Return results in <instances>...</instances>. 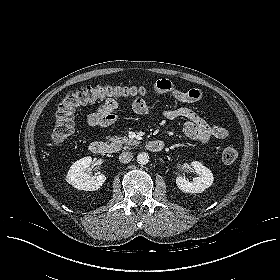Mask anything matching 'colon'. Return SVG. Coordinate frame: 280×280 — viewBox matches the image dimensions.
I'll list each match as a JSON object with an SVG mask.
<instances>
[{"instance_id": "5ec220e1", "label": "colon", "mask_w": 280, "mask_h": 280, "mask_svg": "<svg viewBox=\"0 0 280 280\" xmlns=\"http://www.w3.org/2000/svg\"><path fill=\"white\" fill-rule=\"evenodd\" d=\"M147 95L144 86L100 84L87 86L68 92L55 109V122L50 136L53 144H60L73 132V113L76 107L92 103L98 99L142 98ZM238 156L233 146L223 148L221 158L225 163H233Z\"/></svg>"}]
</instances>
